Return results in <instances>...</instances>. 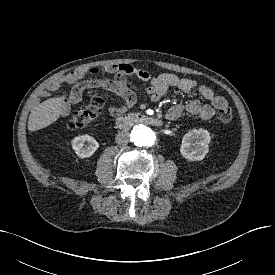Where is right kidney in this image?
I'll return each mask as SVG.
<instances>
[{
	"label": "right kidney",
	"mask_w": 275,
	"mask_h": 275,
	"mask_svg": "<svg viewBox=\"0 0 275 275\" xmlns=\"http://www.w3.org/2000/svg\"><path fill=\"white\" fill-rule=\"evenodd\" d=\"M71 144L73 150L80 158H88L92 156L99 147L98 142L87 134L75 137Z\"/></svg>",
	"instance_id": "right-kidney-1"
}]
</instances>
